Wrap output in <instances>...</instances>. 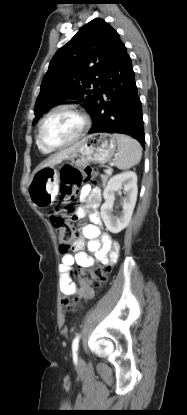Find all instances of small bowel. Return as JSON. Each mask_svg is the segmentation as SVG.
Returning <instances> with one entry per match:
<instances>
[{
  "instance_id": "small-bowel-1",
  "label": "small bowel",
  "mask_w": 187,
  "mask_h": 415,
  "mask_svg": "<svg viewBox=\"0 0 187 415\" xmlns=\"http://www.w3.org/2000/svg\"><path fill=\"white\" fill-rule=\"evenodd\" d=\"M81 199L88 203L87 207H80L76 211L77 218L85 217L90 210V223L82 227L71 246L72 253H66L61 258L60 289L62 294L70 296L76 293V286L72 280V266L76 263L82 268L94 265L95 260L104 263H114L118 258L119 243L107 232H102V221L98 207L102 201L100 188L84 185L80 189ZM87 247L94 257L84 251Z\"/></svg>"
}]
</instances>
